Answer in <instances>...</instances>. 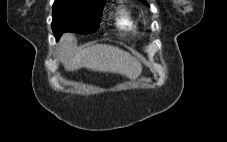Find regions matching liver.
Wrapping results in <instances>:
<instances>
[{
    "label": "liver",
    "instance_id": "1",
    "mask_svg": "<svg viewBox=\"0 0 227 142\" xmlns=\"http://www.w3.org/2000/svg\"><path fill=\"white\" fill-rule=\"evenodd\" d=\"M75 42V36L70 33L64 34L59 42V59L66 71L84 67L98 72L118 73L132 80H136L142 72L140 62L118 47L97 44L75 51Z\"/></svg>",
    "mask_w": 227,
    "mask_h": 142
}]
</instances>
